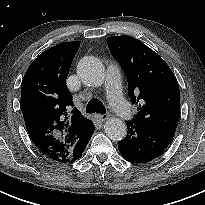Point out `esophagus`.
Segmentation results:
<instances>
[{"label":"esophagus","mask_w":205,"mask_h":205,"mask_svg":"<svg viewBox=\"0 0 205 205\" xmlns=\"http://www.w3.org/2000/svg\"><path fill=\"white\" fill-rule=\"evenodd\" d=\"M97 118L100 122H104L109 118V115H107V114H98Z\"/></svg>","instance_id":"1"}]
</instances>
